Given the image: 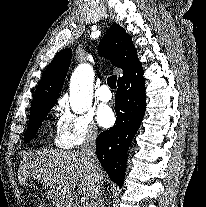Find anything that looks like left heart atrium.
Here are the masks:
<instances>
[{
    "mask_svg": "<svg viewBox=\"0 0 206 207\" xmlns=\"http://www.w3.org/2000/svg\"><path fill=\"white\" fill-rule=\"evenodd\" d=\"M97 121L102 127H109L114 122V114L110 107L103 106L98 110Z\"/></svg>",
    "mask_w": 206,
    "mask_h": 207,
    "instance_id": "left-heart-atrium-1",
    "label": "left heart atrium"
}]
</instances>
